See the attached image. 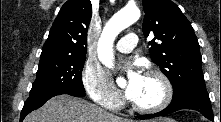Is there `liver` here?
I'll return each instance as SVG.
<instances>
[{
  "label": "liver",
  "instance_id": "liver-1",
  "mask_svg": "<svg viewBox=\"0 0 221 122\" xmlns=\"http://www.w3.org/2000/svg\"><path fill=\"white\" fill-rule=\"evenodd\" d=\"M24 122H132L69 95L48 100L41 108L30 113Z\"/></svg>",
  "mask_w": 221,
  "mask_h": 122
}]
</instances>
